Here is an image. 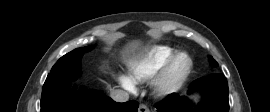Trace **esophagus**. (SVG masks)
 Returning <instances> with one entry per match:
<instances>
[{
    "instance_id": "34e87169",
    "label": "esophagus",
    "mask_w": 270,
    "mask_h": 112,
    "mask_svg": "<svg viewBox=\"0 0 270 112\" xmlns=\"http://www.w3.org/2000/svg\"><path fill=\"white\" fill-rule=\"evenodd\" d=\"M138 112H150V110L146 105L140 104L138 108Z\"/></svg>"
}]
</instances>
